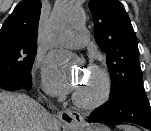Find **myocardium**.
I'll list each match as a JSON object with an SVG mask.
<instances>
[{
    "label": "myocardium",
    "mask_w": 151,
    "mask_h": 131,
    "mask_svg": "<svg viewBox=\"0 0 151 131\" xmlns=\"http://www.w3.org/2000/svg\"><path fill=\"white\" fill-rule=\"evenodd\" d=\"M89 71L96 74L100 78V88L91 97L85 98L78 94H74L73 102L82 109H96L105 104L112 93V80L107 69L100 65H91Z\"/></svg>",
    "instance_id": "obj_1"
}]
</instances>
